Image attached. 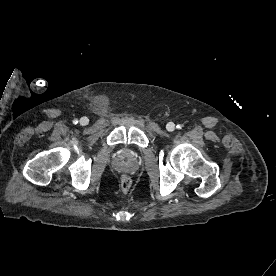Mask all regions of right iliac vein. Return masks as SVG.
Wrapping results in <instances>:
<instances>
[{"label": "right iliac vein", "mask_w": 276, "mask_h": 276, "mask_svg": "<svg viewBox=\"0 0 276 276\" xmlns=\"http://www.w3.org/2000/svg\"><path fill=\"white\" fill-rule=\"evenodd\" d=\"M79 122H80V125L85 126L89 123V120L87 117H82Z\"/></svg>", "instance_id": "right-iliac-vein-1"}]
</instances>
